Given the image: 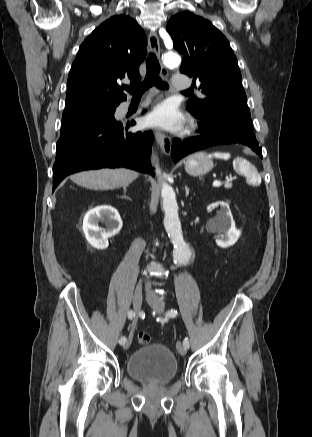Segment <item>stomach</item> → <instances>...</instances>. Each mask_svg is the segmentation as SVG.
Segmentation results:
<instances>
[{
	"instance_id": "stomach-1",
	"label": "stomach",
	"mask_w": 312,
	"mask_h": 437,
	"mask_svg": "<svg viewBox=\"0 0 312 437\" xmlns=\"http://www.w3.org/2000/svg\"><path fill=\"white\" fill-rule=\"evenodd\" d=\"M213 161L204 152L192 154L187 157L185 171L191 176H203L213 168Z\"/></svg>"
}]
</instances>
